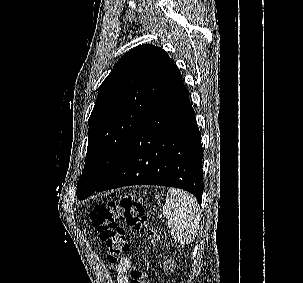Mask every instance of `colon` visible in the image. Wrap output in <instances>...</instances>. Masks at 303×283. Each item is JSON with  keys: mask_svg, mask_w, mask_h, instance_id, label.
Segmentation results:
<instances>
[{"mask_svg": "<svg viewBox=\"0 0 303 283\" xmlns=\"http://www.w3.org/2000/svg\"><path fill=\"white\" fill-rule=\"evenodd\" d=\"M90 221L103 242L107 257L111 262L117 261L128 247L126 231L121 225L146 235L148 246L158 242V235L151 228L145 210L140 202L124 198L119 202L97 204L90 212ZM130 283H149L148 273L133 267Z\"/></svg>", "mask_w": 303, "mask_h": 283, "instance_id": "colon-1", "label": "colon"}]
</instances>
